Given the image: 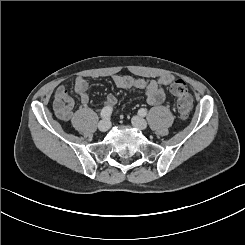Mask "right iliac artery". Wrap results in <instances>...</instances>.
<instances>
[{"instance_id": "82829eb1", "label": "right iliac artery", "mask_w": 245, "mask_h": 245, "mask_svg": "<svg viewBox=\"0 0 245 245\" xmlns=\"http://www.w3.org/2000/svg\"><path fill=\"white\" fill-rule=\"evenodd\" d=\"M112 114V108L110 106H106L101 110V117L103 119H107L111 116Z\"/></svg>"}]
</instances>
